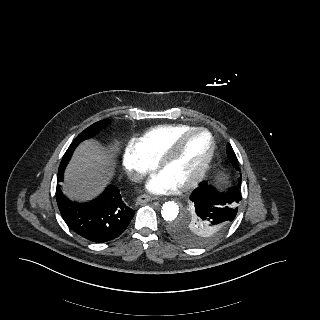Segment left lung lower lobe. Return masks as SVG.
<instances>
[{"mask_svg":"<svg viewBox=\"0 0 320 320\" xmlns=\"http://www.w3.org/2000/svg\"><path fill=\"white\" fill-rule=\"evenodd\" d=\"M240 189L241 184H238L231 187L227 193H220L203 181L193 191L190 196L192 208L209 223L208 237L220 234L233 221L237 214V205L242 199Z\"/></svg>","mask_w":320,"mask_h":320,"instance_id":"obj_1","label":"left lung lower lobe"}]
</instances>
